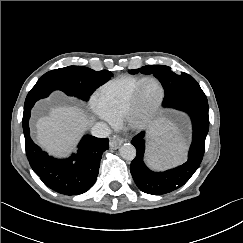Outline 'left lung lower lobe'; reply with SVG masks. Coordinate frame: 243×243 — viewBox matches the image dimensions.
Wrapping results in <instances>:
<instances>
[{"label": "left lung lower lobe", "instance_id": "left-lung-lower-lobe-1", "mask_svg": "<svg viewBox=\"0 0 243 243\" xmlns=\"http://www.w3.org/2000/svg\"><path fill=\"white\" fill-rule=\"evenodd\" d=\"M166 108H173L189 114L193 137L187 161L164 172H153L144 163L145 132L135 136L131 143L137 154L130 165L132 177L138 188L148 194L161 195L183 186L199 168L204 155L205 139L209 130L208 101L202 89L186 92L171 99Z\"/></svg>", "mask_w": 243, "mask_h": 243}]
</instances>
